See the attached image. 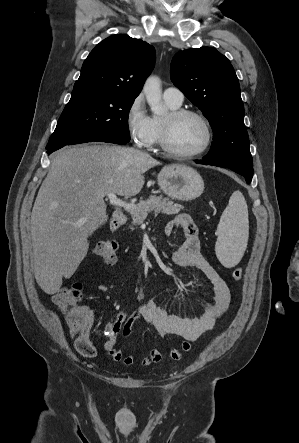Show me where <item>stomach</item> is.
Here are the masks:
<instances>
[{"label":"stomach","mask_w":299,"mask_h":443,"mask_svg":"<svg viewBox=\"0 0 299 443\" xmlns=\"http://www.w3.org/2000/svg\"><path fill=\"white\" fill-rule=\"evenodd\" d=\"M161 190L170 198L189 201L199 197L204 190L200 174L183 164H171L162 168L157 177Z\"/></svg>","instance_id":"0dacf381"}]
</instances>
